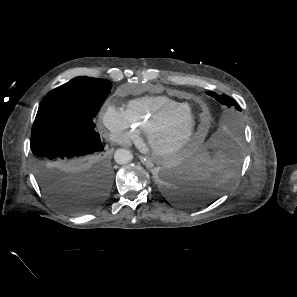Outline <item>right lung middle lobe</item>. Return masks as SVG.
<instances>
[{"instance_id": "dd1d6c3e", "label": "right lung middle lobe", "mask_w": 297, "mask_h": 297, "mask_svg": "<svg viewBox=\"0 0 297 297\" xmlns=\"http://www.w3.org/2000/svg\"><path fill=\"white\" fill-rule=\"evenodd\" d=\"M111 90L105 79L76 77L50 91L41 101L32 131L61 121H80L95 127L92 119Z\"/></svg>"}]
</instances>
